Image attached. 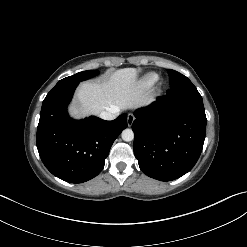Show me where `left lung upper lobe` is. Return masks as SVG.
<instances>
[{
	"instance_id": "obj_1",
	"label": "left lung upper lobe",
	"mask_w": 247,
	"mask_h": 247,
	"mask_svg": "<svg viewBox=\"0 0 247 247\" xmlns=\"http://www.w3.org/2000/svg\"><path fill=\"white\" fill-rule=\"evenodd\" d=\"M168 74L170 77V87L171 89L177 90V89H190V88H196L192 82L181 73L168 69Z\"/></svg>"
}]
</instances>
